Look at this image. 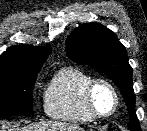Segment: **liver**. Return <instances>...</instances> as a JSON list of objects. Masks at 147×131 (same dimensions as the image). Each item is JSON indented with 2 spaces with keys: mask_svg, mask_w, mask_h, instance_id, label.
Listing matches in <instances>:
<instances>
[{
  "mask_svg": "<svg viewBox=\"0 0 147 131\" xmlns=\"http://www.w3.org/2000/svg\"><path fill=\"white\" fill-rule=\"evenodd\" d=\"M17 131H84L83 128L75 124L64 122H38L29 124Z\"/></svg>",
  "mask_w": 147,
  "mask_h": 131,
  "instance_id": "1",
  "label": "liver"
}]
</instances>
